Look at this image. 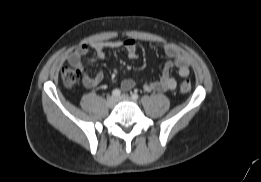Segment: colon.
I'll list each match as a JSON object with an SVG mask.
<instances>
[{
    "mask_svg": "<svg viewBox=\"0 0 261 182\" xmlns=\"http://www.w3.org/2000/svg\"><path fill=\"white\" fill-rule=\"evenodd\" d=\"M61 79L65 87H73L80 79V72L70 67H63L61 70ZM191 90V84L189 81H183L180 85V91L182 93H188Z\"/></svg>",
    "mask_w": 261,
    "mask_h": 182,
    "instance_id": "obj_1",
    "label": "colon"
}]
</instances>
